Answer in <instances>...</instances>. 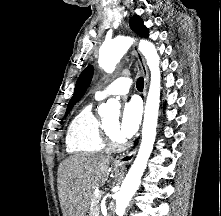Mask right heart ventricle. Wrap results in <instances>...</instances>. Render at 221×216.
<instances>
[{"instance_id": "obj_1", "label": "right heart ventricle", "mask_w": 221, "mask_h": 216, "mask_svg": "<svg viewBox=\"0 0 221 216\" xmlns=\"http://www.w3.org/2000/svg\"><path fill=\"white\" fill-rule=\"evenodd\" d=\"M67 151L71 153H97L105 148L102 122L94 114L93 105L83 107L69 125L66 135Z\"/></svg>"}]
</instances>
